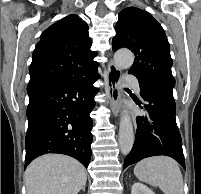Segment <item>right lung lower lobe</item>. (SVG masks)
Masks as SVG:
<instances>
[{
  "mask_svg": "<svg viewBox=\"0 0 201 194\" xmlns=\"http://www.w3.org/2000/svg\"><path fill=\"white\" fill-rule=\"evenodd\" d=\"M97 70L74 81H40L28 84V130L25 167L36 157L60 153L79 160L86 168L91 159L93 83Z\"/></svg>",
  "mask_w": 201,
  "mask_h": 194,
  "instance_id": "98d812e1",
  "label": "right lung lower lobe"
}]
</instances>
